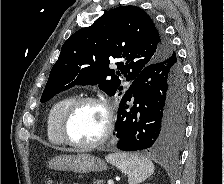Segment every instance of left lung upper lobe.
Here are the masks:
<instances>
[{
	"mask_svg": "<svg viewBox=\"0 0 224 184\" xmlns=\"http://www.w3.org/2000/svg\"><path fill=\"white\" fill-rule=\"evenodd\" d=\"M172 55L176 53L169 41L144 10L136 6L111 9L93 25L78 30L66 40L41 102L75 84H98L112 96L123 89L119 77L134 80L146 66ZM114 59L119 61L118 71L109 68ZM177 61L180 64L178 58Z\"/></svg>",
	"mask_w": 224,
	"mask_h": 184,
	"instance_id": "obj_1",
	"label": "left lung upper lobe"
}]
</instances>
